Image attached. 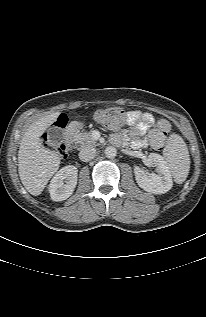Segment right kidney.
<instances>
[{
	"mask_svg": "<svg viewBox=\"0 0 206 317\" xmlns=\"http://www.w3.org/2000/svg\"><path fill=\"white\" fill-rule=\"evenodd\" d=\"M78 170L73 165L61 168L50 181L49 193L53 201H63L69 198L76 185Z\"/></svg>",
	"mask_w": 206,
	"mask_h": 317,
	"instance_id": "right-kidney-1",
	"label": "right kidney"
}]
</instances>
